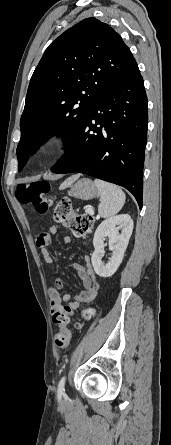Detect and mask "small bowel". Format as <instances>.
Masks as SVG:
<instances>
[{
  "label": "small bowel",
  "mask_w": 171,
  "mask_h": 445,
  "mask_svg": "<svg viewBox=\"0 0 171 445\" xmlns=\"http://www.w3.org/2000/svg\"><path fill=\"white\" fill-rule=\"evenodd\" d=\"M58 231L59 228L55 225H52L48 231L40 233L36 238V245L40 248L43 259L48 265H52L54 261L53 255L49 249V245L51 244L53 237L58 233ZM64 242H70V237H65ZM84 260V265L74 264L71 266V268L76 272L84 286V290L79 292L75 296V299L73 301H71L69 294H62L64 285L60 278L55 273H53L56 286L49 289V298L51 303V313L53 315V321L55 315L59 313H64L66 311L75 312L80 308V305L82 303L89 304L93 302L98 292L99 284L97 282L96 274L90 261V256L85 255ZM81 327V323L75 324V328L79 329ZM68 332L71 338V333L69 330Z\"/></svg>",
  "instance_id": "obj_1"
}]
</instances>
